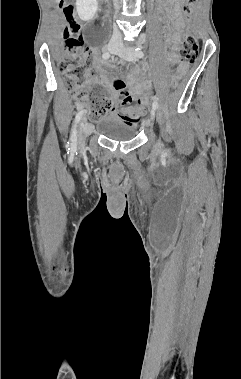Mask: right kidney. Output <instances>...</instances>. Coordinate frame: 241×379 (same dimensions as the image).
I'll list each match as a JSON object with an SVG mask.
<instances>
[{
    "instance_id": "ca27d5eb",
    "label": "right kidney",
    "mask_w": 241,
    "mask_h": 379,
    "mask_svg": "<svg viewBox=\"0 0 241 379\" xmlns=\"http://www.w3.org/2000/svg\"><path fill=\"white\" fill-rule=\"evenodd\" d=\"M98 9L97 0H77L76 11L79 18L83 21L93 19Z\"/></svg>"
}]
</instances>
